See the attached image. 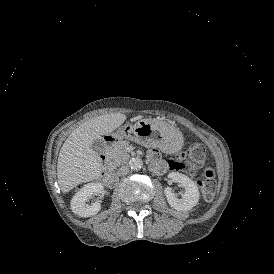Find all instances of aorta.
<instances>
[{
    "label": "aorta",
    "mask_w": 274,
    "mask_h": 274,
    "mask_svg": "<svg viewBox=\"0 0 274 274\" xmlns=\"http://www.w3.org/2000/svg\"><path fill=\"white\" fill-rule=\"evenodd\" d=\"M143 165V162L140 158H132L130 161H129V167L132 169V170H139Z\"/></svg>",
    "instance_id": "obj_1"
}]
</instances>
